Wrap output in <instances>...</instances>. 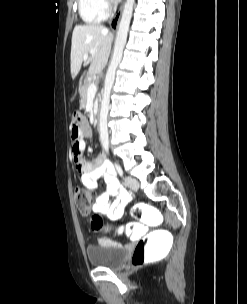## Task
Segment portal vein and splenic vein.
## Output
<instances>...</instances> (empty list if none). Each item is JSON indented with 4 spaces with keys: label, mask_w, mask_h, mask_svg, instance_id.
<instances>
[{
    "label": "portal vein and splenic vein",
    "mask_w": 247,
    "mask_h": 304,
    "mask_svg": "<svg viewBox=\"0 0 247 304\" xmlns=\"http://www.w3.org/2000/svg\"><path fill=\"white\" fill-rule=\"evenodd\" d=\"M87 58H88V54H84L83 59L87 60ZM96 92H97V87H96L95 83L94 82L90 83V85L88 87L87 95L95 96Z\"/></svg>",
    "instance_id": "18ae733b"
}]
</instances>
